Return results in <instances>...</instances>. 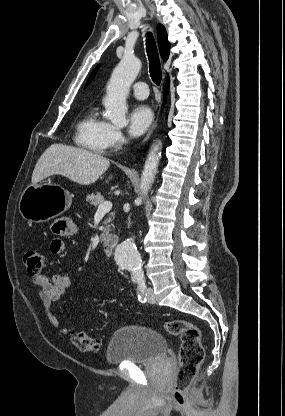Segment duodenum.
I'll list each match as a JSON object with an SVG mask.
<instances>
[{"instance_id":"obj_1","label":"duodenum","mask_w":285,"mask_h":416,"mask_svg":"<svg viewBox=\"0 0 285 416\" xmlns=\"http://www.w3.org/2000/svg\"><path fill=\"white\" fill-rule=\"evenodd\" d=\"M118 243V238L116 236H108L104 239L102 243V249L106 256H110L113 252L114 247Z\"/></svg>"}]
</instances>
